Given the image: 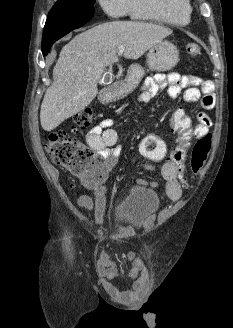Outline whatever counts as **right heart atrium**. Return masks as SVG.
I'll use <instances>...</instances> for the list:
<instances>
[{"mask_svg": "<svg viewBox=\"0 0 233 328\" xmlns=\"http://www.w3.org/2000/svg\"><path fill=\"white\" fill-rule=\"evenodd\" d=\"M104 12L114 18L127 13L128 0H98Z\"/></svg>", "mask_w": 233, "mask_h": 328, "instance_id": "right-heart-atrium-1", "label": "right heart atrium"}]
</instances>
